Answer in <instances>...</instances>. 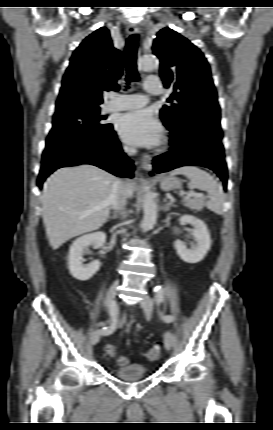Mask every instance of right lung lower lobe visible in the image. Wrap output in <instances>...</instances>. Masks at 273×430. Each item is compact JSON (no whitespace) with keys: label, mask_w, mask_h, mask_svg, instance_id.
<instances>
[{"label":"right lung lower lobe","mask_w":273,"mask_h":430,"mask_svg":"<svg viewBox=\"0 0 273 430\" xmlns=\"http://www.w3.org/2000/svg\"><path fill=\"white\" fill-rule=\"evenodd\" d=\"M79 164H92L119 177H133V164L111 130L107 135L45 149L37 185L41 188L46 177L58 168Z\"/></svg>","instance_id":"98d812e1"}]
</instances>
